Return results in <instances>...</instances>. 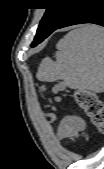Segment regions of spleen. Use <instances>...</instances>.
I'll use <instances>...</instances> for the list:
<instances>
[{"label":"spleen","mask_w":104,"mask_h":169,"mask_svg":"<svg viewBox=\"0 0 104 169\" xmlns=\"http://www.w3.org/2000/svg\"><path fill=\"white\" fill-rule=\"evenodd\" d=\"M56 61L45 58L37 78L53 82L63 80L71 89L96 93L104 90V30L85 25L64 36L57 44Z\"/></svg>","instance_id":"obj_1"}]
</instances>
